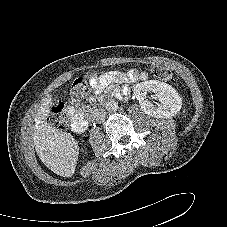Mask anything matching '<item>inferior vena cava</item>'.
Segmentation results:
<instances>
[{"instance_id": "1", "label": "inferior vena cava", "mask_w": 227, "mask_h": 227, "mask_svg": "<svg viewBox=\"0 0 227 227\" xmlns=\"http://www.w3.org/2000/svg\"><path fill=\"white\" fill-rule=\"evenodd\" d=\"M106 112L104 109H95L90 114L91 121L94 123H99L105 118Z\"/></svg>"}]
</instances>
